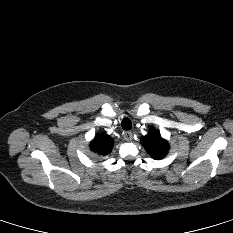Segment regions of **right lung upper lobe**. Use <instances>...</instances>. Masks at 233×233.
<instances>
[{"instance_id": "right-lung-upper-lobe-1", "label": "right lung upper lobe", "mask_w": 233, "mask_h": 233, "mask_svg": "<svg viewBox=\"0 0 233 233\" xmlns=\"http://www.w3.org/2000/svg\"><path fill=\"white\" fill-rule=\"evenodd\" d=\"M112 147L113 140L106 133L98 134L90 144L91 150L100 156H105L109 154L112 150Z\"/></svg>"}]
</instances>
